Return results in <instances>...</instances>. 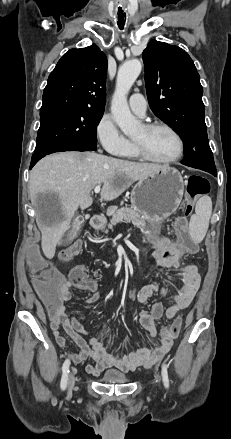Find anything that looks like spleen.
I'll return each instance as SVG.
<instances>
[{"label":"spleen","instance_id":"spleen-1","mask_svg":"<svg viewBox=\"0 0 231 439\" xmlns=\"http://www.w3.org/2000/svg\"><path fill=\"white\" fill-rule=\"evenodd\" d=\"M212 214V201L208 196L201 197L195 207V214L189 223L190 235L195 243H200L208 230Z\"/></svg>","mask_w":231,"mask_h":439}]
</instances>
